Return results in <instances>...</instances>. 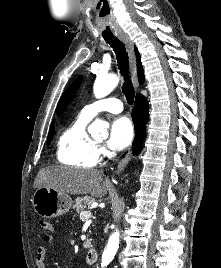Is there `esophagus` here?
Here are the masks:
<instances>
[{
  "label": "esophagus",
  "mask_w": 221,
  "mask_h": 268,
  "mask_svg": "<svg viewBox=\"0 0 221 268\" xmlns=\"http://www.w3.org/2000/svg\"><path fill=\"white\" fill-rule=\"evenodd\" d=\"M119 39L126 46V49H127L128 55H129V63H130V70H131V74H132L133 84L137 88L139 86V83H138V79H137L136 56L134 53L133 42L131 41V39L129 38V36L127 34H123V33L119 35ZM130 157H131V154H130V152H128L126 154V156L120 160V162L118 163V166H117V173H120L124 170V168L126 167V165L128 164V162L130 160Z\"/></svg>",
  "instance_id": "obj_1"
}]
</instances>
